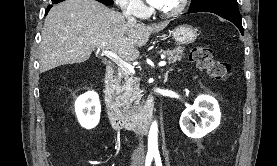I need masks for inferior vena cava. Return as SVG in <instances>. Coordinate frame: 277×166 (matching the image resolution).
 <instances>
[{"label":"inferior vena cava","mask_w":277,"mask_h":166,"mask_svg":"<svg viewBox=\"0 0 277 166\" xmlns=\"http://www.w3.org/2000/svg\"><path fill=\"white\" fill-rule=\"evenodd\" d=\"M123 15L130 21V22H135V18L132 16V13L130 11L127 10H123ZM139 146L134 150L133 152V157H140L143 158L144 157V145H143V141H142V137H139Z\"/></svg>","instance_id":"1"}]
</instances>
